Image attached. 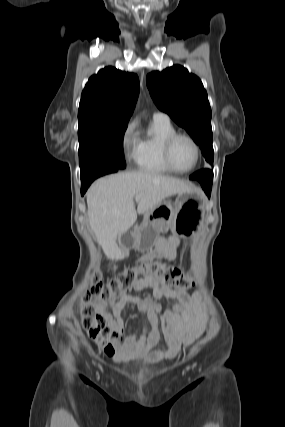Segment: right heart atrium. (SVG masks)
Segmentation results:
<instances>
[{
    "label": "right heart atrium",
    "mask_w": 285,
    "mask_h": 427,
    "mask_svg": "<svg viewBox=\"0 0 285 427\" xmlns=\"http://www.w3.org/2000/svg\"><path fill=\"white\" fill-rule=\"evenodd\" d=\"M136 126H137L136 121L134 120L130 121L126 125L121 137L122 149L126 153V155L129 157L133 154L132 149L137 142V138L135 134Z\"/></svg>",
    "instance_id": "1"
}]
</instances>
